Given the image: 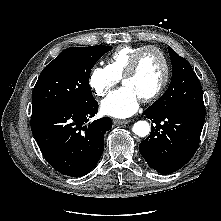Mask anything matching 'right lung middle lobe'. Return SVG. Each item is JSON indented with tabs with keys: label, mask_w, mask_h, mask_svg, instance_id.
<instances>
[{
	"label": "right lung middle lobe",
	"mask_w": 221,
	"mask_h": 221,
	"mask_svg": "<svg viewBox=\"0 0 221 221\" xmlns=\"http://www.w3.org/2000/svg\"><path fill=\"white\" fill-rule=\"evenodd\" d=\"M110 46L71 47L62 51L41 72L32 92V111L52 106L92 102L91 69Z\"/></svg>",
	"instance_id": "right-lung-middle-lobe-1"
}]
</instances>
